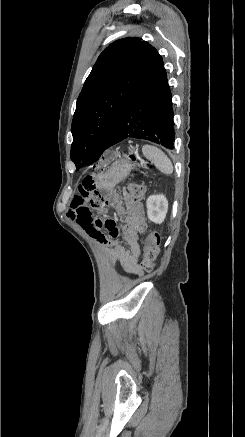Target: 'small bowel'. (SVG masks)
I'll return each mask as SVG.
<instances>
[{"label":"small bowel","mask_w":245,"mask_h":437,"mask_svg":"<svg viewBox=\"0 0 245 437\" xmlns=\"http://www.w3.org/2000/svg\"><path fill=\"white\" fill-rule=\"evenodd\" d=\"M114 157V150H103L102 157L98 162L99 166H96L80 183L78 187L80 194L72 199L68 216L86 234L108 249L109 256L115 264L120 265L127 272L139 275L141 274L139 267L141 251L138 238L146 228L143 206L127 196L123 201L116 200L109 191H103L102 198L99 195L91 198L90 203L85 201L91 192L96 191L94 179L103 172L104 168L108 167L109 163L113 162ZM103 199L114 206L118 215L124 217V225L121 229L118 228L114 219L105 220L104 225L108 235L101 232L102 222L99 219H94L90 214L92 208L101 206ZM122 242L126 243L127 247Z\"/></svg>","instance_id":"c3829d8e"}]
</instances>
